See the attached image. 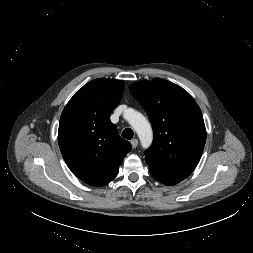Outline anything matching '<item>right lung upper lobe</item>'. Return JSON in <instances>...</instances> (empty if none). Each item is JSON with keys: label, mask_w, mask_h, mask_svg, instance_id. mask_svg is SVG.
I'll return each mask as SVG.
<instances>
[{"label": "right lung upper lobe", "mask_w": 253, "mask_h": 253, "mask_svg": "<svg viewBox=\"0 0 253 253\" xmlns=\"http://www.w3.org/2000/svg\"><path fill=\"white\" fill-rule=\"evenodd\" d=\"M123 90L121 80H92L73 95L61 114L58 142L62 156L73 174L91 186L113 180L132 149L110 121Z\"/></svg>", "instance_id": "obj_1"}]
</instances>
